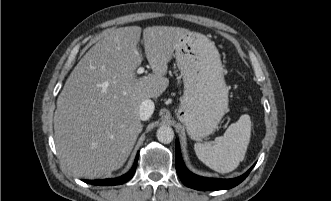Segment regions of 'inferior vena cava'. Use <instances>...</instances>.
Wrapping results in <instances>:
<instances>
[{"label": "inferior vena cava", "mask_w": 331, "mask_h": 201, "mask_svg": "<svg viewBox=\"0 0 331 201\" xmlns=\"http://www.w3.org/2000/svg\"><path fill=\"white\" fill-rule=\"evenodd\" d=\"M154 112V103L150 99L144 100L139 108V117L141 120H148Z\"/></svg>", "instance_id": "1"}]
</instances>
